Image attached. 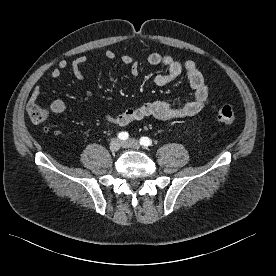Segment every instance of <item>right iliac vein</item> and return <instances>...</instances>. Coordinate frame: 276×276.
I'll list each match as a JSON object with an SVG mask.
<instances>
[{"label":"right iliac vein","instance_id":"1","mask_svg":"<svg viewBox=\"0 0 276 276\" xmlns=\"http://www.w3.org/2000/svg\"><path fill=\"white\" fill-rule=\"evenodd\" d=\"M122 146V143L119 139L115 138L110 143V150L112 152H117Z\"/></svg>","mask_w":276,"mask_h":276}]
</instances>
